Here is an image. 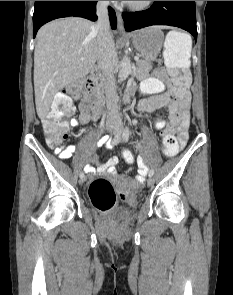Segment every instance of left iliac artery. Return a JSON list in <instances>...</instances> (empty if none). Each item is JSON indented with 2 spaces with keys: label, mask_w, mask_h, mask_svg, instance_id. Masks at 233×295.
Masks as SVG:
<instances>
[{
  "label": "left iliac artery",
  "mask_w": 233,
  "mask_h": 295,
  "mask_svg": "<svg viewBox=\"0 0 233 295\" xmlns=\"http://www.w3.org/2000/svg\"><path fill=\"white\" fill-rule=\"evenodd\" d=\"M129 136H130V130H129L128 127H126V128L124 129V131H123V135H122V137H123V141H125V142L128 141ZM153 174H154V171H153V170H150V171H149V177H152Z\"/></svg>",
  "instance_id": "left-iliac-artery-1"
}]
</instances>
